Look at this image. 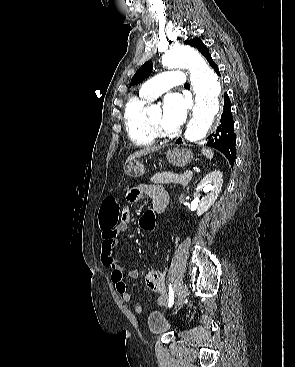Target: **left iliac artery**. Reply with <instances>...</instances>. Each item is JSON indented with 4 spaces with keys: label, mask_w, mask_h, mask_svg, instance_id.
Listing matches in <instances>:
<instances>
[{
    "label": "left iliac artery",
    "mask_w": 295,
    "mask_h": 367,
    "mask_svg": "<svg viewBox=\"0 0 295 367\" xmlns=\"http://www.w3.org/2000/svg\"><path fill=\"white\" fill-rule=\"evenodd\" d=\"M174 302V291L172 289L171 284L169 285V301H168V307H171Z\"/></svg>",
    "instance_id": "44dca946"
}]
</instances>
